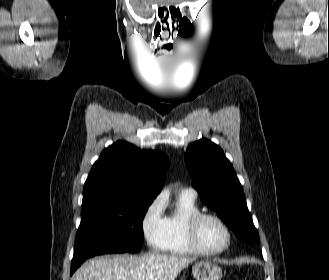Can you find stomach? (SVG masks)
Returning <instances> with one entry per match:
<instances>
[{
  "label": "stomach",
  "mask_w": 329,
  "mask_h": 280,
  "mask_svg": "<svg viewBox=\"0 0 329 280\" xmlns=\"http://www.w3.org/2000/svg\"><path fill=\"white\" fill-rule=\"evenodd\" d=\"M193 276L196 280H221V268L211 262L200 261L194 264L192 268Z\"/></svg>",
  "instance_id": "0dacf381"
}]
</instances>
